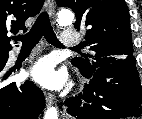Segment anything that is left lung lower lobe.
Instances as JSON below:
<instances>
[{
	"label": "left lung lower lobe",
	"instance_id": "obj_1",
	"mask_svg": "<svg viewBox=\"0 0 142 119\" xmlns=\"http://www.w3.org/2000/svg\"><path fill=\"white\" fill-rule=\"evenodd\" d=\"M91 79L83 94L65 101L76 119H122L141 117L142 88L136 63L116 62L83 73Z\"/></svg>",
	"mask_w": 142,
	"mask_h": 119
}]
</instances>
